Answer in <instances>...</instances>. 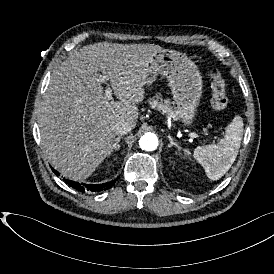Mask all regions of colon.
<instances>
[{
  "mask_svg": "<svg viewBox=\"0 0 274 274\" xmlns=\"http://www.w3.org/2000/svg\"><path fill=\"white\" fill-rule=\"evenodd\" d=\"M212 89L211 106L214 109L222 110L228 106L229 97L224 79L218 69H212L209 74Z\"/></svg>",
  "mask_w": 274,
  "mask_h": 274,
  "instance_id": "colon-1",
  "label": "colon"
}]
</instances>
